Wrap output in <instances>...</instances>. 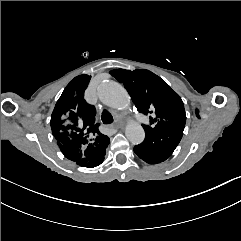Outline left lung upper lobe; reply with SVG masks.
I'll return each instance as SVG.
<instances>
[{
    "label": "left lung upper lobe",
    "mask_w": 241,
    "mask_h": 241,
    "mask_svg": "<svg viewBox=\"0 0 241 241\" xmlns=\"http://www.w3.org/2000/svg\"><path fill=\"white\" fill-rule=\"evenodd\" d=\"M122 83L139 112L150 116V125H143L146 135L161 130L183 129L186 115L180 96L159 76L145 69L110 71Z\"/></svg>",
    "instance_id": "obj_1"
}]
</instances>
